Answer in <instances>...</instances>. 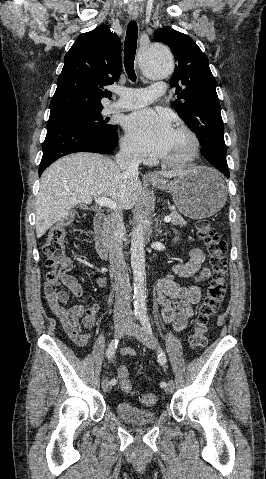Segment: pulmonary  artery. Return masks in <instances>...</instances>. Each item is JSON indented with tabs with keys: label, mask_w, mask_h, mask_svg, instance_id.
<instances>
[{
	"label": "pulmonary artery",
	"mask_w": 266,
	"mask_h": 479,
	"mask_svg": "<svg viewBox=\"0 0 266 479\" xmlns=\"http://www.w3.org/2000/svg\"><path fill=\"white\" fill-rule=\"evenodd\" d=\"M166 90L164 82H156L146 88H125L115 90L120 96L117 101L110 104V109L126 110L145 106L162 97Z\"/></svg>",
	"instance_id": "pulmonary-artery-1"
}]
</instances>
